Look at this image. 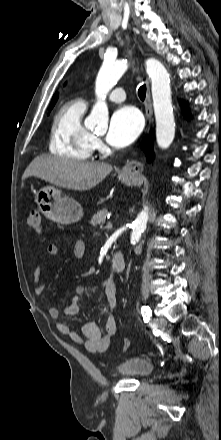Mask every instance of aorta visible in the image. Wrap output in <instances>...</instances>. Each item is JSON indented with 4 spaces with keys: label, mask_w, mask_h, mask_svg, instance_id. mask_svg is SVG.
Masks as SVG:
<instances>
[{
    "label": "aorta",
    "mask_w": 221,
    "mask_h": 440,
    "mask_svg": "<svg viewBox=\"0 0 221 440\" xmlns=\"http://www.w3.org/2000/svg\"><path fill=\"white\" fill-rule=\"evenodd\" d=\"M146 72L152 83V98L156 120V140L160 148H168L174 140L175 121L171 99L170 78L163 64L154 58L145 62ZM128 68L127 60L113 63L104 62L97 79L96 95L98 100L93 106L86 124L91 127H106L108 123V107L105 103L106 94L116 85ZM148 209L142 210L133 223L131 243L136 244L146 229Z\"/></svg>",
    "instance_id": "obj_1"
}]
</instances>
